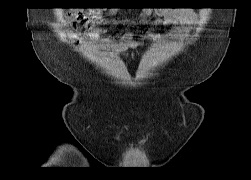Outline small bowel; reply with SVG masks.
I'll use <instances>...</instances> for the list:
<instances>
[{"label":"small bowel","mask_w":251,"mask_h":180,"mask_svg":"<svg viewBox=\"0 0 251 180\" xmlns=\"http://www.w3.org/2000/svg\"><path fill=\"white\" fill-rule=\"evenodd\" d=\"M110 14L113 13H106L101 9H91L87 12L75 10L68 13V18L72 20H83L93 25L87 33L90 40L100 41L103 45L110 46L115 50L122 52L136 47L139 44V41L131 32L124 33L117 42H112L108 39H101L102 30L95 25L102 22H108L106 16ZM141 21H149L154 25L162 24L166 26H177L178 28L169 34L150 32L146 35V38L155 42L166 43L175 38L185 37L189 32L190 27L197 22V14L189 9H157L146 12ZM68 36L72 39L78 37L74 32H69Z\"/></svg>","instance_id":"1"}]
</instances>
